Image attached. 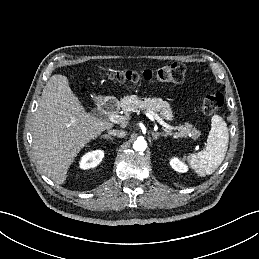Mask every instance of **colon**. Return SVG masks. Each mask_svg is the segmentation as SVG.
Returning a JSON list of instances; mask_svg holds the SVG:
<instances>
[{
  "label": "colon",
  "mask_w": 259,
  "mask_h": 259,
  "mask_svg": "<svg viewBox=\"0 0 259 259\" xmlns=\"http://www.w3.org/2000/svg\"><path fill=\"white\" fill-rule=\"evenodd\" d=\"M110 80L118 83H137L139 81L157 80L164 83H180L185 77V66L179 62L168 63L157 70L142 71L121 70L108 74ZM224 98L221 93L205 96L200 102V108L207 115L216 114L223 106Z\"/></svg>",
  "instance_id": "5ec220e1"
}]
</instances>
